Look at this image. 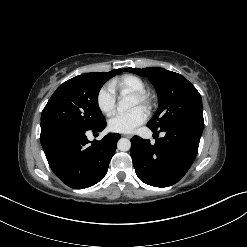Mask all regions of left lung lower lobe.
Returning a JSON list of instances; mask_svg holds the SVG:
<instances>
[{"label":"left lung lower lobe","instance_id":"0a47b994","mask_svg":"<svg viewBox=\"0 0 247 247\" xmlns=\"http://www.w3.org/2000/svg\"><path fill=\"white\" fill-rule=\"evenodd\" d=\"M155 144L138 136L131 139V157L138 178L151 186L168 187L178 182L189 170L198 152L203 127L185 121L155 128Z\"/></svg>","mask_w":247,"mask_h":247}]
</instances>
